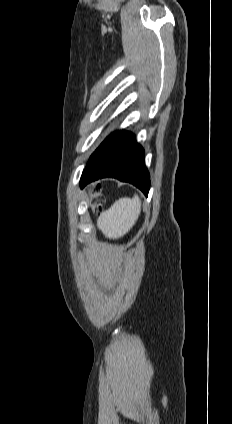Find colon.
Wrapping results in <instances>:
<instances>
[{"instance_id":"colon-1","label":"colon","mask_w":232,"mask_h":424,"mask_svg":"<svg viewBox=\"0 0 232 424\" xmlns=\"http://www.w3.org/2000/svg\"><path fill=\"white\" fill-rule=\"evenodd\" d=\"M90 194V208L94 213L102 211L104 206V197L102 195V189L100 185H94L89 189Z\"/></svg>"}]
</instances>
